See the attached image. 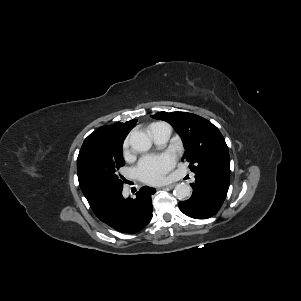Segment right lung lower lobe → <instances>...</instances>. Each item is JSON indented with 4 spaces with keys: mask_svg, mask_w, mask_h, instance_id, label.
Instances as JSON below:
<instances>
[{
    "mask_svg": "<svg viewBox=\"0 0 301 301\" xmlns=\"http://www.w3.org/2000/svg\"><path fill=\"white\" fill-rule=\"evenodd\" d=\"M121 192L108 201L96 215L115 230L134 234L150 222L152 218L151 196L156 191L151 187H142L136 193L137 197L135 199H125Z\"/></svg>",
    "mask_w": 301,
    "mask_h": 301,
    "instance_id": "98d812e1",
    "label": "right lung lower lobe"
}]
</instances>
